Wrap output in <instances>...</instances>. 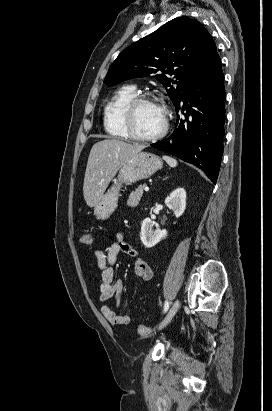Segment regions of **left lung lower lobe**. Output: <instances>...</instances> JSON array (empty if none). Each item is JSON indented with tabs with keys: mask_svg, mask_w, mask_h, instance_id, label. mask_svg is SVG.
Returning <instances> with one entry per match:
<instances>
[{
	"mask_svg": "<svg viewBox=\"0 0 272 411\" xmlns=\"http://www.w3.org/2000/svg\"><path fill=\"white\" fill-rule=\"evenodd\" d=\"M175 109V131L152 146L197 166L216 182L225 122L224 75L219 55L186 90Z\"/></svg>",
	"mask_w": 272,
	"mask_h": 411,
	"instance_id": "obj_1",
	"label": "left lung lower lobe"
}]
</instances>
